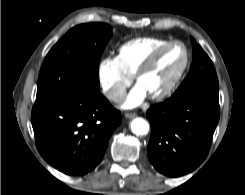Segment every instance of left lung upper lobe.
Returning a JSON list of instances; mask_svg holds the SVG:
<instances>
[{
    "instance_id": "left-lung-upper-lobe-1",
    "label": "left lung upper lobe",
    "mask_w": 245,
    "mask_h": 195,
    "mask_svg": "<svg viewBox=\"0 0 245 195\" xmlns=\"http://www.w3.org/2000/svg\"><path fill=\"white\" fill-rule=\"evenodd\" d=\"M193 63L190 71L171 98L205 99L218 102L219 84L212 61L191 38Z\"/></svg>"
}]
</instances>
